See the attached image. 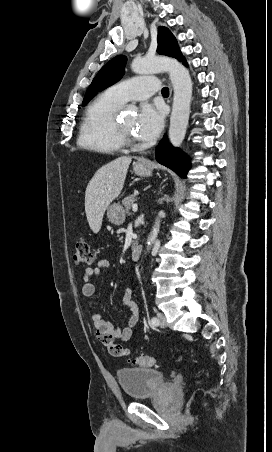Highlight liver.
I'll use <instances>...</instances> for the list:
<instances>
[{"label":"liver","mask_w":272,"mask_h":452,"mask_svg":"<svg viewBox=\"0 0 272 452\" xmlns=\"http://www.w3.org/2000/svg\"><path fill=\"white\" fill-rule=\"evenodd\" d=\"M131 160L121 156L98 169L90 180L85 192V212L94 233L100 231L106 209L121 193Z\"/></svg>","instance_id":"obj_1"}]
</instances>
